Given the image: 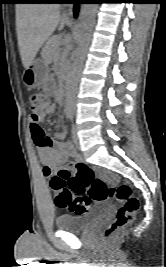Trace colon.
Here are the masks:
<instances>
[{
	"label": "colon",
	"instance_id": "5ec220e1",
	"mask_svg": "<svg viewBox=\"0 0 166 267\" xmlns=\"http://www.w3.org/2000/svg\"><path fill=\"white\" fill-rule=\"evenodd\" d=\"M28 100L32 116H37L51 107L50 97L40 91H32ZM36 137L38 141H43L44 132L36 131ZM114 181L112 174H97L93 168L79 160L70 169L61 168L52 175L50 186L55 192V204L77 215L90 212L93 202L112 198L117 200L120 207L115 219L104 230V238L111 239L132 222L139 208V200L133 196L131 186L126 183L111 185Z\"/></svg>",
	"mask_w": 166,
	"mask_h": 267
}]
</instances>
